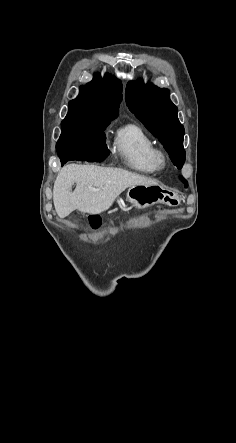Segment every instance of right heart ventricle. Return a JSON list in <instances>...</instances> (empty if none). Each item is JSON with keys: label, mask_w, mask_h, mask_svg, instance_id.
Masks as SVG:
<instances>
[{"label": "right heart ventricle", "mask_w": 236, "mask_h": 443, "mask_svg": "<svg viewBox=\"0 0 236 443\" xmlns=\"http://www.w3.org/2000/svg\"><path fill=\"white\" fill-rule=\"evenodd\" d=\"M114 149L122 163L134 171L151 174L159 169L155 160L156 144L137 124L128 123L117 129Z\"/></svg>", "instance_id": "right-heart-ventricle-1"}]
</instances>
